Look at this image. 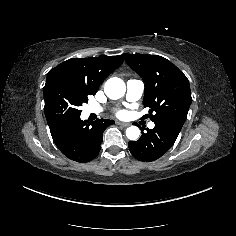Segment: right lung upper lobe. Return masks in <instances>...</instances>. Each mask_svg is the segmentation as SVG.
I'll return each mask as SVG.
<instances>
[{"instance_id":"cb5924a9","label":"right lung upper lobe","mask_w":236,"mask_h":236,"mask_svg":"<svg viewBox=\"0 0 236 236\" xmlns=\"http://www.w3.org/2000/svg\"><path fill=\"white\" fill-rule=\"evenodd\" d=\"M124 61L122 56H100L95 58H72L47 74V79L64 77L94 95L104 79Z\"/></svg>"}]
</instances>
